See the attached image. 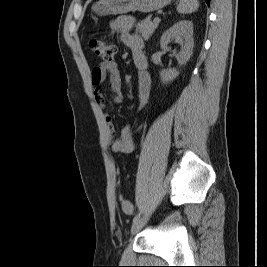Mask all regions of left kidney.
<instances>
[{"label": "left kidney", "instance_id": "obj_1", "mask_svg": "<svg viewBox=\"0 0 267 267\" xmlns=\"http://www.w3.org/2000/svg\"><path fill=\"white\" fill-rule=\"evenodd\" d=\"M175 41L181 44V50L176 54L179 65L186 64L192 53L194 47L193 41V24L191 21L182 20L175 23L167 31H165L160 40V46L163 50L169 51V43ZM179 72L176 69H167L160 72V77L163 83L173 81Z\"/></svg>", "mask_w": 267, "mask_h": 267}]
</instances>
